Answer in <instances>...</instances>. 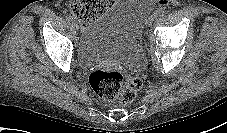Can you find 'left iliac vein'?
Here are the masks:
<instances>
[{"label": "left iliac vein", "mask_w": 227, "mask_h": 133, "mask_svg": "<svg viewBox=\"0 0 227 133\" xmlns=\"http://www.w3.org/2000/svg\"><path fill=\"white\" fill-rule=\"evenodd\" d=\"M155 19H156V15H154V14L151 15L148 19V25L150 26L154 22Z\"/></svg>", "instance_id": "4c4485c4"}]
</instances>
